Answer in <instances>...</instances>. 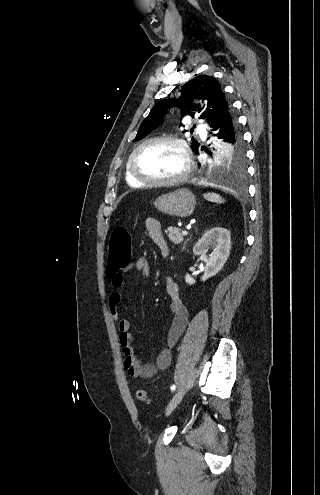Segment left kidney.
Segmentation results:
<instances>
[{"instance_id":"5707ae66","label":"left kidney","mask_w":320,"mask_h":495,"mask_svg":"<svg viewBox=\"0 0 320 495\" xmlns=\"http://www.w3.org/2000/svg\"><path fill=\"white\" fill-rule=\"evenodd\" d=\"M209 249L212 252L206 255ZM230 250L231 237L227 229L215 227L202 236L193 247V253L195 255L205 257L206 265L201 281H206L222 270L229 257ZM185 281L189 285H193L196 282L189 274H186Z\"/></svg>"}]
</instances>
